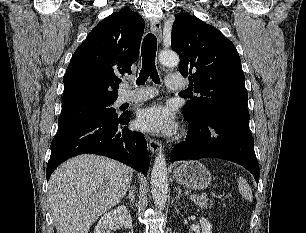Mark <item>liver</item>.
Returning <instances> with one entry per match:
<instances>
[{"instance_id": "6515ba94", "label": "liver", "mask_w": 306, "mask_h": 233, "mask_svg": "<svg viewBox=\"0 0 306 233\" xmlns=\"http://www.w3.org/2000/svg\"><path fill=\"white\" fill-rule=\"evenodd\" d=\"M132 174V168L94 154H83L62 164L48 186L57 233H88L102 214L123 199Z\"/></svg>"}]
</instances>
